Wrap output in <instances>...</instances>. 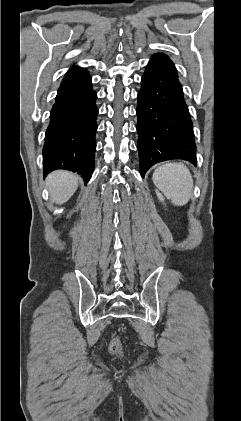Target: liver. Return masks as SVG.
<instances>
[{
	"label": "liver",
	"mask_w": 241,
	"mask_h": 421,
	"mask_svg": "<svg viewBox=\"0 0 241 421\" xmlns=\"http://www.w3.org/2000/svg\"><path fill=\"white\" fill-rule=\"evenodd\" d=\"M79 180V176L64 170L49 174L46 178V186L51 200L56 204L67 202L77 190Z\"/></svg>",
	"instance_id": "6515ba94"
}]
</instances>
